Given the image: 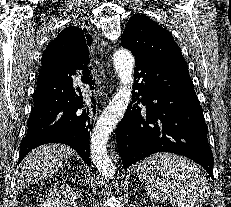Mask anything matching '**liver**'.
I'll return each instance as SVG.
<instances>
[{
    "mask_svg": "<svg viewBox=\"0 0 231 207\" xmlns=\"http://www.w3.org/2000/svg\"><path fill=\"white\" fill-rule=\"evenodd\" d=\"M74 154L71 147L63 144H47L32 150L19 166L18 188L52 177Z\"/></svg>",
    "mask_w": 231,
    "mask_h": 207,
    "instance_id": "liver-1",
    "label": "liver"
}]
</instances>
